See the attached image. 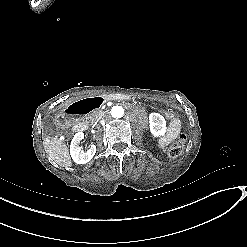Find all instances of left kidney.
Instances as JSON below:
<instances>
[{
	"label": "left kidney",
	"mask_w": 247,
	"mask_h": 247,
	"mask_svg": "<svg viewBox=\"0 0 247 247\" xmlns=\"http://www.w3.org/2000/svg\"><path fill=\"white\" fill-rule=\"evenodd\" d=\"M150 129H151V133L153 134L154 137H159L165 134L166 132V123L164 118L158 114V113H152L150 115ZM156 122V123H155ZM155 125H160L161 129H156Z\"/></svg>",
	"instance_id": "5707ae66"
}]
</instances>
